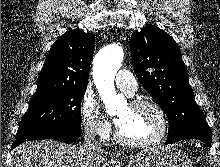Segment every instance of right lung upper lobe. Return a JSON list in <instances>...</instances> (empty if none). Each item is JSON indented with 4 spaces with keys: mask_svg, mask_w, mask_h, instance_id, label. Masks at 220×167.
<instances>
[{
    "mask_svg": "<svg viewBox=\"0 0 220 167\" xmlns=\"http://www.w3.org/2000/svg\"><path fill=\"white\" fill-rule=\"evenodd\" d=\"M94 48L93 33L70 30L63 34L50 48L32 99L64 88L87 87Z\"/></svg>",
    "mask_w": 220,
    "mask_h": 167,
    "instance_id": "1",
    "label": "right lung upper lobe"
}]
</instances>
